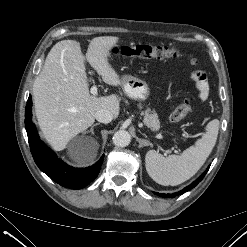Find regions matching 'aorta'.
I'll return each mask as SVG.
<instances>
[{
	"instance_id": "762f6f07",
	"label": "aorta",
	"mask_w": 247,
	"mask_h": 247,
	"mask_svg": "<svg viewBox=\"0 0 247 247\" xmlns=\"http://www.w3.org/2000/svg\"><path fill=\"white\" fill-rule=\"evenodd\" d=\"M113 144L116 147H126L130 144L131 142V135L128 131L126 130H118L115 132L113 138H112Z\"/></svg>"
}]
</instances>
